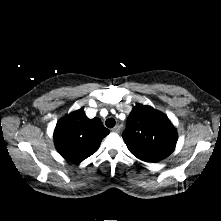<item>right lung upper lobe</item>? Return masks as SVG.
<instances>
[{
  "mask_svg": "<svg viewBox=\"0 0 221 221\" xmlns=\"http://www.w3.org/2000/svg\"><path fill=\"white\" fill-rule=\"evenodd\" d=\"M110 131L97 117L89 119L83 109L61 118L54 131L59 154L72 163H80L97 151Z\"/></svg>",
  "mask_w": 221,
  "mask_h": 221,
  "instance_id": "right-lung-upper-lobe-1",
  "label": "right lung upper lobe"
}]
</instances>
